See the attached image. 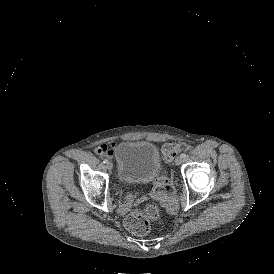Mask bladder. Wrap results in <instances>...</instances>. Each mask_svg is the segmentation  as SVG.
Segmentation results:
<instances>
[{
  "instance_id": "obj_1",
  "label": "bladder",
  "mask_w": 274,
  "mask_h": 274,
  "mask_svg": "<svg viewBox=\"0 0 274 274\" xmlns=\"http://www.w3.org/2000/svg\"><path fill=\"white\" fill-rule=\"evenodd\" d=\"M113 154L120 181L147 180L164 168L159 149L151 141L125 140L114 148Z\"/></svg>"
}]
</instances>
